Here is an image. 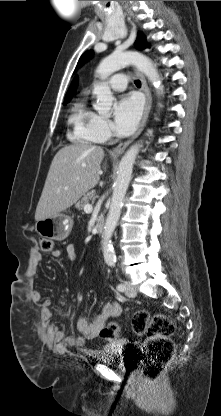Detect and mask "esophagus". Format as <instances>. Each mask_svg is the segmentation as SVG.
<instances>
[{"label":"esophagus","mask_w":221,"mask_h":416,"mask_svg":"<svg viewBox=\"0 0 221 416\" xmlns=\"http://www.w3.org/2000/svg\"><path fill=\"white\" fill-rule=\"evenodd\" d=\"M135 73L141 80L142 90H143V92L145 93V96H146V104H145L144 114H143V117H142V120H141V123L139 125V128H138L137 132L132 137H130L128 140H126V141L120 143L119 145H117L111 152V154L113 156L121 155L125 151V149L128 147V145L130 143H132L141 134V132L144 129V126L146 125V122H147V119H148V116H149V113H150L151 104H152V97H151V93L149 91L146 79L143 76V74L140 73L138 70H135Z\"/></svg>","instance_id":"1"}]
</instances>
